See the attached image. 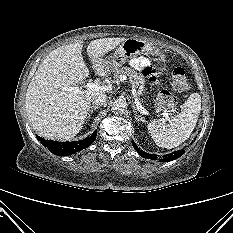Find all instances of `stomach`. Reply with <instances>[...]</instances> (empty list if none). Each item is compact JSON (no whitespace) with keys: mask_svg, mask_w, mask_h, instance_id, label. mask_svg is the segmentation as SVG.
<instances>
[{"mask_svg":"<svg viewBox=\"0 0 233 233\" xmlns=\"http://www.w3.org/2000/svg\"><path fill=\"white\" fill-rule=\"evenodd\" d=\"M140 54H154L163 58L158 48L150 42L138 38H128L118 47V49L106 58V63L110 71L117 70L128 59Z\"/></svg>","mask_w":233,"mask_h":233,"instance_id":"1","label":"stomach"}]
</instances>
